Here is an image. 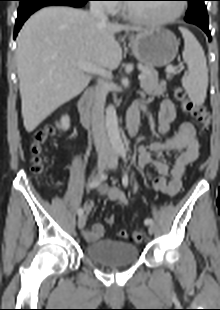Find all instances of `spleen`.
I'll return each mask as SVG.
<instances>
[{
    "label": "spleen",
    "mask_w": 220,
    "mask_h": 310,
    "mask_svg": "<svg viewBox=\"0 0 220 310\" xmlns=\"http://www.w3.org/2000/svg\"><path fill=\"white\" fill-rule=\"evenodd\" d=\"M184 38L183 59L188 66V73L182 78V85L191 101L202 105L208 87V69L202 46L195 36L185 28H179Z\"/></svg>",
    "instance_id": "3e777b00"
}]
</instances>
